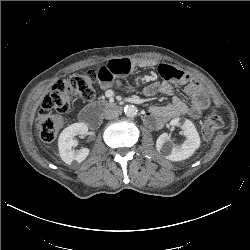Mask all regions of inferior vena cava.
<instances>
[{"mask_svg": "<svg viewBox=\"0 0 250 250\" xmlns=\"http://www.w3.org/2000/svg\"><path fill=\"white\" fill-rule=\"evenodd\" d=\"M120 114V110L117 109V108H111V109H108L105 114H104V117L105 119H114L116 118L118 115Z\"/></svg>", "mask_w": 250, "mask_h": 250, "instance_id": "602c4592", "label": "inferior vena cava"}]
</instances>
